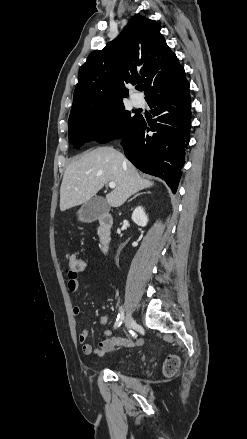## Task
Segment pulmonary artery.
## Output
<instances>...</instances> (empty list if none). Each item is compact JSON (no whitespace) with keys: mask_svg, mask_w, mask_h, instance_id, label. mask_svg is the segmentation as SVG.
<instances>
[{"mask_svg":"<svg viewBox=\"0 0 247 439\" xmlns=\"http://www.w3.org/2000/svg\"><path fill=\"white\" fill-rule=\"evenodd\" d=\"M133 103H134L136 106H139V105L142 104V101H141L140 99H138V98H134V99H133Z\"/></svg>","mask_w":247,"mask_h":439,"instance_id":"e3ab8cb5","label":"pulmonary artery"}]
</instances>
